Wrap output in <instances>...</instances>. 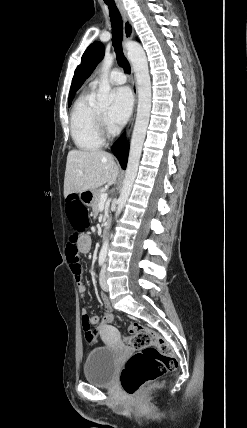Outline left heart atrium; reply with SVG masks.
I'll return each mask as SVG.
<instances>
[{
  "label": "left heart atrium",
  "mask_w": 247,
  "mask_h": 428,
  "mask_svg": "<svg viewBox=\"0 0 247 428\" xmlns=\"http://www.w3.org/2000/svg\"><path fill=\"white\" fill-rule=\"evenodd\" d=\"M133 108V98L128 88H118L113 92V102L107 114L111 125L121 126L126 123Z\"/></svg>",
  "instance_id": "obj_1"
}]
</instances>
